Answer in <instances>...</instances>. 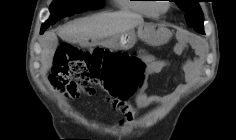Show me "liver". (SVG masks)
I'll return each instance as SVG.
<instances>
[{"mask_svg": "<svg viewBox=\"0 0 236 140\" xmlns=\"http://www.w3.org/2000/svg\"><path fill=\"white\" fill-rule=\"evenodd\" d=\"M144 23L143 18L130 12L99 13L71 21L58 30V36L71 43L85 46L91 41L118 36ZM41 71L46 73L51 67L58 38L54 32H47L41 38Z\"/></svg>", "mask_w": 236, "mask_h": 140, "instance_id": "1", "label": "liver"}]
</instances>
